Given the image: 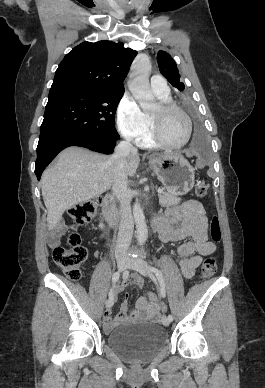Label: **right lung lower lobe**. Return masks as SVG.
Instances as JSON below:
<instances>
[{"instance_id":"1","label":"right lung lower lobe","mask_w":265,"mask_h":388,"mask_svg":"<svg viewBox=\"0 0 265 388\" xmlns=\"http://www.w3.org/2000/svg\"><path fill=\"white\" fill-rule=\"evenodd\" d=\"M115 144L116 141L100 139L77 130H60L42 136L39 138L35 163L37 179L40 180L45 167L66 147L81 146L96 152L111 154Z\"/></svg>"}]
</instances>
